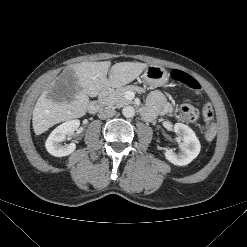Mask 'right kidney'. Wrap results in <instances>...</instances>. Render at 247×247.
Returning <instances> with one entry per match:
<instances>
[{
    "label": "right kidney",
    "instance_id": "1",
    "mask_svg": "<svg viewBox=\"0 0 247 247\" xmlns=\"http://www.w3.org/2000/svg\"><path fill=\"white\" fill-rule=\"evenodd\" d=\"M80 125L79 120H70L56 127L46 140L45 146L47 151L56 157L67 156L76 149L75 143L61 145L66 135L73 133Z\"/></svg>",
    "mask_w": 247,
    "mask_h": 247
}]
</instances>
